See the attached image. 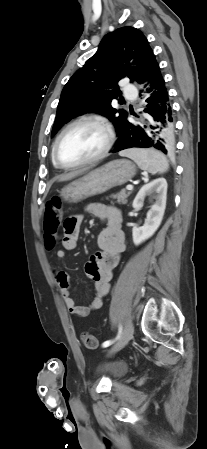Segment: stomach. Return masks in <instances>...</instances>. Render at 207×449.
Masks as SVG:
<instances>
[{
    "label": "stomach",
    "instance_id": "obj_1",
    "mask_svg": "<svg viewBox=\"0 0 207 449\" xmlns=\"http://www.w3.org/2000/svg\"><path fill=\"white\" fill-rule=\"evenodd\" d=\"M135 174V164L126 159H117L71 182L61 190L60 196L66 202L78 203L125 184Z\"/></svg>",
    "mask_w": 207,
    "mask_h": 449
}]
</instances>
